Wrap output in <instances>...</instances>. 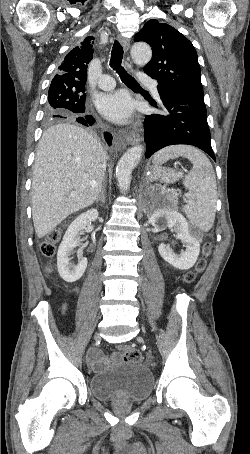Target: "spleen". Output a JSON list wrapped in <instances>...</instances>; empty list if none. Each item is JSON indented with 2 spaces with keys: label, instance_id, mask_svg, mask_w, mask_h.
I'll return each instance as SVG.
<instances>
[{
  "label": "spleen",
  "instance_id": "1",
  "mask_svg": "<svg viewBox=\"0 0 250 454\" xmlns=\"http://www.w3.org/2000/svg\"><path fill=\"white\" fill-rule=\"evenodd\" d=\"M179 156L187 158L193 164L184 179L189 201L183 210L195 226L207 232L214 224L216 212L217 185L214 169L200 150L189 145H173L158 151L153 156L154 168Z\"/></svg>",
  "mask_w": 250,
  "mask_h": 454
}]
</instances>
